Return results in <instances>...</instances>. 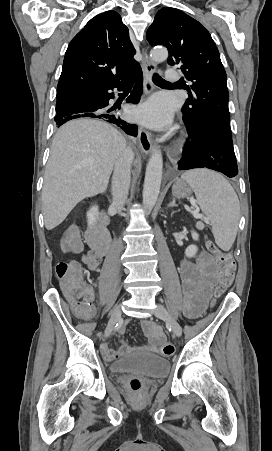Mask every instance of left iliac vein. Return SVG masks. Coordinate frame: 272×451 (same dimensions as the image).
Masks as SVG:
<instances>
[{"label": "left iliac vein", "mask_w": 272, "mask_h": 451, "mask_svg": "<svg viewBox=\"0 0 272 451\" xmlns=\"http://www.w3.org/2000/svg\"><path fill=\"white\" fill-rule=\"evenodd\" d=\"M154 314L163 319L169 326L172 328V331L176 337L181 336L182 328L179 323L172 317V315L166 310V308L160 304H157V307L154 310Z\"/></svg>", "instance_id": "left-iliac-vein-1"}]
</instances>
